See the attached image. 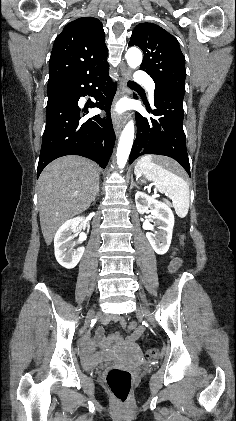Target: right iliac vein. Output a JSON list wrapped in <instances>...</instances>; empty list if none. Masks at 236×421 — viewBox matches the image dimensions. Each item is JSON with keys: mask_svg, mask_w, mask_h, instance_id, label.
<instances>
[{"mask_svg": "<svg viewBox=\"0 0 236 421\" xmlns=\"http://www.w3.org/2000/svg\"><path fill=\"white\" fill-rule=\"evenodd\" d=\"M92 316H93V310H91L90 313L88 314V321H90V319L92 318Z\"/></svg>", "mask_w": 236, "mask_h": 421, "instance_id": "63e3f726", "label": "right iliac vein"}]
</instances>
